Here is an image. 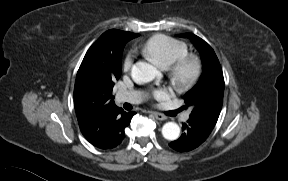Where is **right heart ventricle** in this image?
Listing matches in <instances>:
<instances>
[{"instance_id":"1","label":"right heart ventricle","mask_w":288,"mask_h":181,"mask_svg":"<svg viewBox=\"0 0 288 181\" xmlns=\"http://www.w3.org/2000/svg\"><path fill=\"white\" fill-rule=\"evenodd\" d=\"M143 53L154 59L161 67L167 68L180 57L187 55L188 47L180 40L157 34L146 41Z\"/></svg>"}]
</instances>
